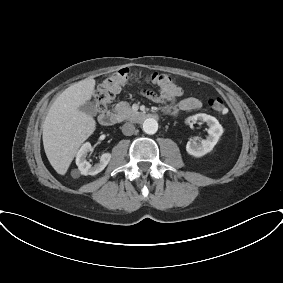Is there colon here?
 <instances>
[{"mask_svg": "<svg viewBox=\"0 0 283 283\" xmlns=\"http://www.w3.org/2000/svg\"><path fill=\"white\" fill-rule=\"evenodd\" d=\"M129 75V70L122 68L116 70L102 81L93 96V102L97 110L101 111L105 109L107 104L113 99L115 91L128 80ZM151 80L159 88V94H154L160 99L170 98L178 94L176 84L169 76L154 73L151 76ZM150 94L152 92L148 93V95ZM208 105L213 111L219 114H225L227 112L226 105L220 97L209 98Z\"/></svg>", "mask_w": 283, "mask_h": 283, "instance_id": "5ec220e1", "label": "colon"}]
</instances>
